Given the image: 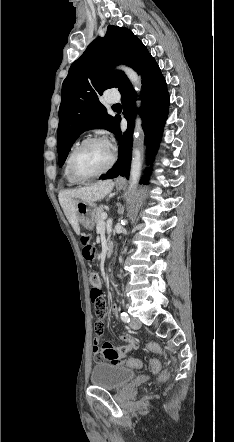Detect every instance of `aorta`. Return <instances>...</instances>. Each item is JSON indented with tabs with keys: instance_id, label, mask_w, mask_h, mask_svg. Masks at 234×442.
Returning a JSON list of instances; mask_svg holds the SVG:
<instances>
[{
	"instance_id": "762f6f07",
	"label": "aorta",
	"mask_w": 234,
	"mask_h": 442,
	"mask_svg": "<svg viewBox=\"0 0 234 442\" xmlns=\"http://www.w3.org/2000/svg\"><path fill=\"white\" fill-rule=\"evenodd\" d=\"M120 69H122L125 72V74L129 78L131 83L136 87V89H139L141 87V78L132 68L121 66ZM139 104L140 102L137 101V106H139ZM141 134H142L141 119L137 117L135 130H134L135 141L132 151V161H131L130 178H129L130 190L135 189L137 183L139 182L142 170L143 156L136 142V139L140 137Z\"/></svg>"
}]
</instances>
